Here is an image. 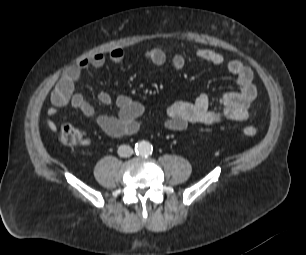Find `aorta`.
<instances>
[{
  "mask_svg": "<svg viewBox=\"0 0 306 255\" xmlns=\"http://www.w3.org/2000/svg\"><path fill=\"white\" fill-rule=\"evenodd\" d=\"M135 152L139 156L147 157L152 154L153 146L147 141H141L135 145Z\"/></svg>",
  "mask_w": 306,
  "mask_h": 255,
  "instance_id": "762f6f07",
  "label": "aorta"
}]
</instances>
